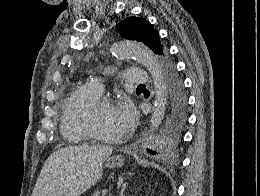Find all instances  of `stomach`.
I'll use <instances>...</instances> for the list:
<instances>
[{
  "mask_svg": "<svg viewBox=\"0 0 260 196\" xmlns=\"http://www.w3.org/2000/svg\"><path fill=\"white\" fill-rule=\"evenodd\" d=\"M124 162L125 158H122V156H112V158L106 160L104 166L105 168H122Z\"/></svg>",
  "mask_w": 260,
  "mask_h": 196,
  "instance_id": "stomach-1",
  "label": "stomach"
}]
</instances>
